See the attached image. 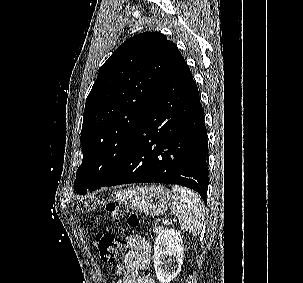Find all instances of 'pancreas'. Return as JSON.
<instances>
[{
  "label": "pancreas",
  "instance_id": "pancreas-1",
  "mask_svg": "<svg viewBox=\"0 0 303 283\" xmlns=\"http://www.w3.org/2000/svg\"><path fill=\"white\" fill-rule=\"evenodd\" d=\"M161 230H162V227H160V226H155L153 228V232L156 233V234H158Z\"/></svg>",
  "mask_w": 303,
  "mask_h": 283
}]
</instances>
